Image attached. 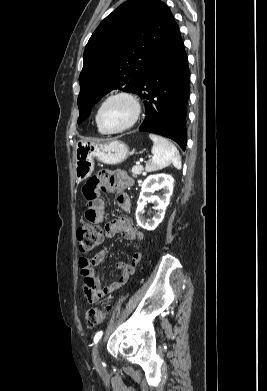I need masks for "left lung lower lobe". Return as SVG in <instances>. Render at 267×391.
<instances>
[{
  "label": "left lung lower lobe",
  "mask_w": 267,
  "mask_h": 391,
  "mask_svg": "<svg viewBox=\"0 0 267 391\" xmlns=\"http://www.w3.org/2000/svg\"><path fill=\"white\" fill-rule=\"evenodd\" d=\"M190 72L179 29L151 61L136 91L145 99L146 117L139 130L156 133L186 149V113Z\"/></svg>",
  "instance_id": "obj_1"
}]
</instances>
